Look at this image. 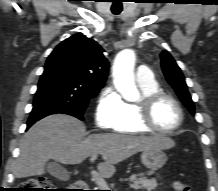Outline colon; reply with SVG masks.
<instances>
[{
  "label": "colon",
  "instance_id": "obj_1",
  "mask_svg": "<svg viewBox=\"0 0 218 191\" xmlns=\"http://www.w3.org/2000/svg\"><path fill=\"white\" fill-rule=\"evenodd\" d=\"M177 191H191V187L181 181L175 183ZM19 191H65L57 189L54 184L46 177H36L25 180L21 183Z\"/></svg>",
  "mask_w": 218,
  "mask_h": 191
}]
</instances>
